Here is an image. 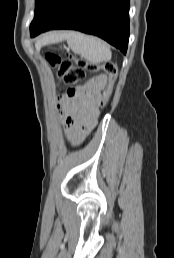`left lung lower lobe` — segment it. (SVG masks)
I'll list each match as a JSON object with an SVG mask.
<instances>
[{
	"label": "left lung lower lobe",
	"instance_id": "obj_1",
	"mask_svg": "<svg viewBox=\"0 0 174 258\" xmlns=\"http://www.w3.org/2000/svg\"><path fill=\"white\" fill-rule=\"evenodd\" d=\"M51 29L96 35L126 54L129 0H58L31 37Z\"/></svg>",
	"mask_w": 174,
	"mask_h": 258
}]
</instances>
